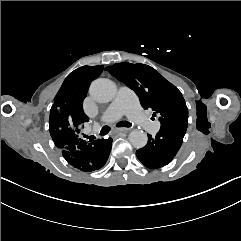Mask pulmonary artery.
I'll list each match as a JSON object with an SVG mask.
<instances>
[{"instance_id": "e3ab8cb5", "label": "pulmonary artery", "mask_w": 241, "mask_h": 241, "mask_svg": "<svg viewBox=\"0 0 241 241\" xmlns=\"http://www.w3.org/2000/svg\"><path fill=\"white\" fill-rule=\"evenodd\" d=\"M138 102V96L128 88L123 87L119 90L116 98L109 103L107 109L103 108L98 111V120L103 123L117 120L121 117L123 108L126 116L139 123L140 128L147 134H156L159 130L158 122L147 116L145 108L139 105Z\"/></svg>"}]
</instances>
